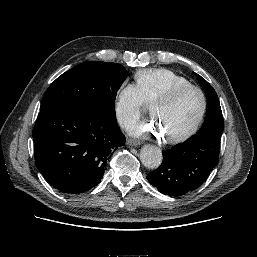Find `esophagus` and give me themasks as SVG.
Instances as JSON below:
<instances>
[{
	"instance_id": "esophagus-1",
	"label": "esophagus",
	"mask_w": 257,
	"mask_h": 257,
	"mask_svg": "<svg viewBox=\"0 0 257 257\" xmlns=\"http://www.w3.org/2000/svg\"><path fill=\"white\" fill-rule=\"evenodd\" d=\"M126 144L129 145V146H137V145L140 144V141L136 140V139L128 138L126 140Z\"/></svg>"
}]
</instances>
